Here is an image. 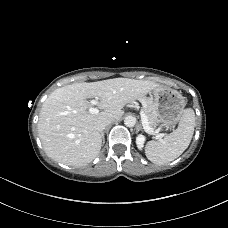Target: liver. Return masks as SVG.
Here are the masks:
<instances>
[{"mask_svg":"<svg viewBox=\"0 0 228 228\" xmlns=\"http://www.w3.org/2000/svg\"><path fill=\"white\" fill-rule=\"evenodd\" d=\"M162 86L144 80L114 78L90 83H73L54 90L43 103L38 133L46 154L57 162L81 167L97 157L102 137L95 123L118 120L125 105L141 100ZM87 98L103 111L92 114Z\"/></svg>","mask_w":228,"mask_h":228,"instance_id":"1","label":"liver"}]
</instances>
